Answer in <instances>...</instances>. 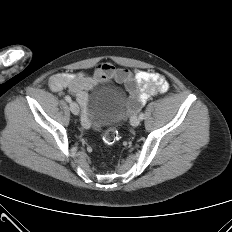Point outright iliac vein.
Returning <instances> with one entry per match:
<instances>
[{
	"mask_svg": "<svg viewBox=\"0 0 232 232\" xmlns=\"http://www.w3.org/2000/svg\"><path fill=\"white\" fill-rule=\"evenodd\" d=\"M70 110L74 115H79V106L76 102H70Z\"/></svg>",
	"mask_w": 232,
	"mask_h": 232,
	"instance_id": "obj_1",
	"label": "right iliac vein"
}]
</instances>
